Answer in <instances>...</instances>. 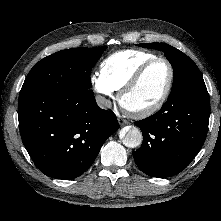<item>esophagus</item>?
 <instances>
[{
    "label": "esophagus",
    "mask_w": 221,
    "mask_h": 221,
    "mask_svg": "<svg viewBox=\"0 0 221 221\" xmlns=\"http://www.w3.org/2000/svg\"><path fill=\"white\" fill-rule=\"evenodd\" d=\"M118 122H119V124L121 125V126H123V125H125V124H127L128 123V121L127 120H125V119H123V118H118Z\"/></svg>",
    "instance_id": "1"
}]
</instances>
